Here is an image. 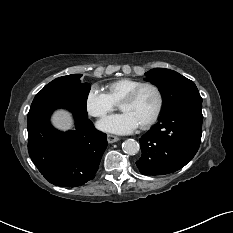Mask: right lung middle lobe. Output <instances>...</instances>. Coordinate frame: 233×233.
<instances>
[{
	"instance_id": "dd1d6c3e",
	"label": "right lung middle lobe",
	"mask_w": 233,
	"mask_h": 233,
	"mask_svg": "<svg viewBox=\"0 0 233 233\" xmlns=\"http://www.w3.org/2000/svg\"><path fill=\"white\" fill-rule=\"evenodd\" d=\"M81 76V74H71L51 81L35 96L31 107L44 102L56 101L73 104L86 110V101L91 86L88 83H81Z\"/></svg>"
}]
</instances>
